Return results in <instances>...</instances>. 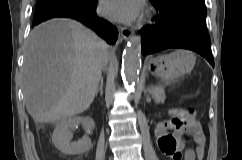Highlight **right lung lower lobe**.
<instances>
[{
	"label": "right lung lower lobe",
	"mask_w": 242,
	"mask_h": 160,
	"mask_svg": "<svg viewBox=\"0 0 242 160\" xmlns=\"http://www.w3.org/2000/svg\"><path fill=\"white\" fill-rule=\"evenodd\" d=\"M97 0L85 4H70L56 2L35 9L32 27L51 18L65 17L82 22L101 35L108 43H115L118 30L96 14Z\"/></svg>",
	"instance_id": "obj_1"
}]
</instances>
